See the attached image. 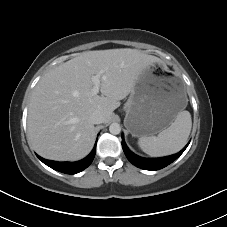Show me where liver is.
I'll list each match as a JSON object with an SVG mask.
<instances>
[{
  "label": "liver",
  "instance_id": "1",
  "mask_svg": "<svg viewBox=\"0 0 227 227\" xmlns=\"http://www.w3.org/2000/svg\"><path fill=\"white\" fill-rule=\"evenodd\" d=\"M162 61L136 49L88 51L46 73L31 96L27 131L34 150L56 161H77L95 142L90 116L110 121L120 100L128 96L140 73ZM100 74L99 95H92L91 77Z\"/></svg>",
  "mask_w": 227,
  "mask_h": 227
}]
</instances>
